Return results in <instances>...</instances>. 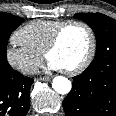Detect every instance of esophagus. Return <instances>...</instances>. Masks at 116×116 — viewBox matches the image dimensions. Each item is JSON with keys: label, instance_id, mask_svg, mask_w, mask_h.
Segmentation results:
<instances>
[{"label": "esophagus", "instance_id": "esophagus-1", "mask_svg": "<svg viewBox=\"0 0 116 116\" xmlns=\"http://www.w3.org/2000/svg\"><path fill=\"white\" fill-rule=\"evenodd\" d=\"M39 80H41V81H49L50 77L49 76L41 77V78H39Z\"/></svg>", "mask_w": 116, "mask_h": 116}]
</instances>
